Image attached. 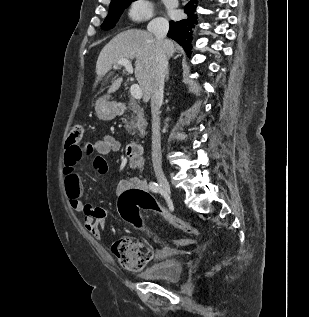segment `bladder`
Masks as SVG:
<instances>
[{
  "label": "bladder",
  "instance_id": "obj_1",
  "mask_svg": "<svg viewBox=\"0 0 309 317\" xmlns=\"http://www.w3.org/2000/svg\"><path fill=\"white\" fill-rule=\"evenodd\" d=\"M182 273L183 264L178 258H166L147 267L141 273V278L149 281L175 283L180 280Z\"/></svg>",
  "mask_w": 309,
  "mask_h": 317
}]
</instances>
